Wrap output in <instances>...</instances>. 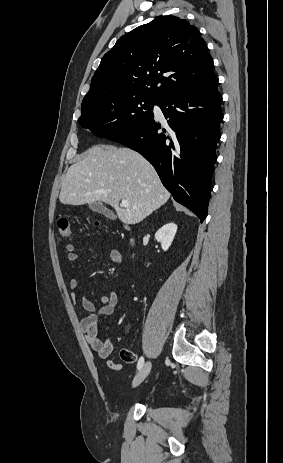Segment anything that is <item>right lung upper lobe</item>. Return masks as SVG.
<instances>
[{
    "mask_svg": "<svg viewBox=\"0 0 283 463\" xmlns=\"http://www.w3.org/2000/svg\"><path fill=\"white\" fill-rule=\"evenodd\" d=\"M215 78L199 30L185 19L164 16L121 37L104 55L82 105L111 95L159 101Z\"/></svg>",
    "mask_w": 283,
    "mask_h": 463,
    "instance_id": "right-lung-upper-lobe-1",
    "label": "right lung upper lobe"
}]
</instances>
